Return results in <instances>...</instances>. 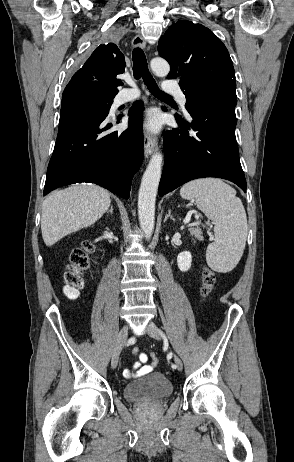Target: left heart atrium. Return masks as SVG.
<instances>
[{"label":"left heart atrium","instance_id":"obj_1","mask_svg":"<svg viewBox=\"0 0 294 462\" xmlns=\"http://www.w3.org/2000/svg\"><path fill=\"white\" fill-rule=\"evenodd\" d=\"M145 127L153 132L158 131L159 129V119L155 113L148 114L146 121L144 123Z\"/></svg>","mask_w":294,"mask_h":462}]
</instances>
